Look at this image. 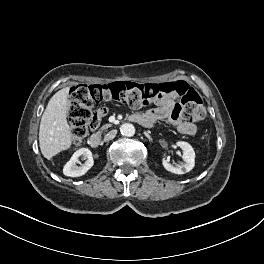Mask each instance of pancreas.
<instances>
[{
	"label": "pancreas",
	"instance_id": "obj_1",
	"mask_svg": "<svg viewBox=\"0 0 264 264\" xmlns=\"http://www.w3.org/2000/svg\"><path fill=\"white\" fill-rule=\"evenodd\" d=\"M112 125L111 124H105L101 127V130H106L108 129L109 127H111Z\"/></svg>",
	"mask_w": 264,
	"mask_h": 264
}]
</instances>
